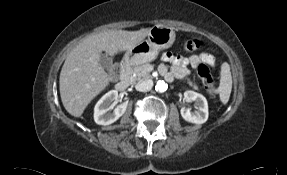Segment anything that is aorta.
Returning a JSON list of instances; mask_svg holds the SVG:
<instances>
[{
	"mask_svg": "<svg viewBox=\"0 0 287 175\" xmlns=\"http://www.w3.org/2000/svg\"><path fill=\"white\" fill-rule=\"evenodd\" d=\"M167 88H168V85L164 81H158L155 86V90L160 93L165 92Z\"/></svg>",
	"mask_w": 287,
	"mask_h": 175,
	"instance_id": "1",
	"label": "aorta"
}]
</instances>
